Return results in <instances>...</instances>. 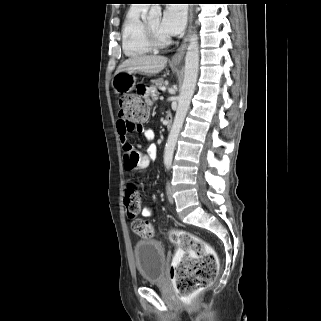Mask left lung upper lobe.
<instances>
[{"label": "left lung upper lobe", "mask_w": 321, "mask_h": 321, "mask_svg": "<svg viewBox=\"0 0 321 321\" xmlns=\"http://www.w3.org/2000/svg\"><path fill=\"white\" fill-rule=\"evenodd\" d=\"M124 1L128 2V1H130V0H124Z\"/></svg>", "instance_id": "5c2ea615"}]
</instances>
